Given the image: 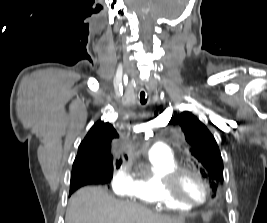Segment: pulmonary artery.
<instances>
[{"instance_id":"e3ab8cb5","label":"pulmonary artery","mask_w":267,"mask_h":223,"mask_svg":"<svg viewBox=\"0 0 267 223\" xmlns=\"http://www.w3.org/2000/svg\"><path fill=\"white\" fill-rule=\"evenodd\" d=\"M149 156L158 158H169L171 156V151L165 143L158 142L150 148Z\"/></svg>"}]
</instances>
